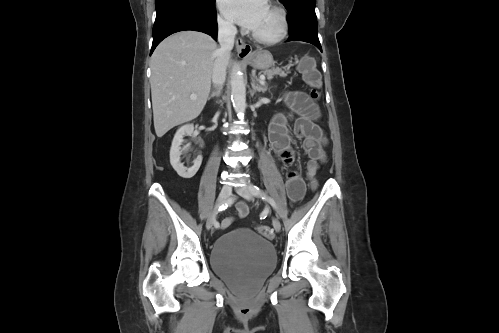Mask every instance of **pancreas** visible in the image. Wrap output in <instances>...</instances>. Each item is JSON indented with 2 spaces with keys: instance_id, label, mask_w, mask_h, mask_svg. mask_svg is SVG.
Returning a JSON list of instances; mask_svg holds the SVG:
<instances>
[{
  "instance_id": "obj_1",
  "label": "pancreas",
  "mask_w": 499,
  "mask_h": 333,
  "mask_svg": "<svg viewBox=\"0 0 499 333\" xmlns=\"http://www.w3.org/2000/svg\"><path fill=\"white\" fill-rule=\"evenodd\" d=\"M288 74V72H285L283 71L282 69L280 68H275V69H270V70H265L264 71V75L268 78V79H272L273 76L275 75H279L280 77H286Z\"/></svg>"
}]
</instances>
